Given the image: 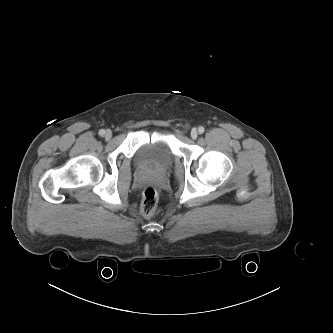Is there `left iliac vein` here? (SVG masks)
<instances>
[{
  "label": "left iliac vein",
  "mask_w": 333,
  "mask_h": 333,
  "mask_svg": "<svg viewBox=\"0 0 333 333\" xmlns=\"http://www.w3.org/2000/svg\"><path fill=\"white\" fill-rule=\"evenodd\" d=\"M198 136L197 130L196 129H192L191 131V138L192 139H196Z\"/></svg>",
  "instance_id": "1"
}]
</instances>
